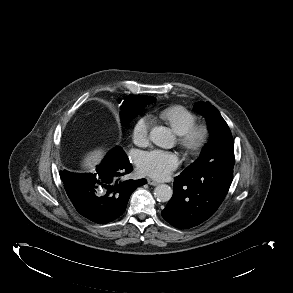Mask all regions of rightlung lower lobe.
Here are the masks:
<instances>
[{"instance_id":"obj_1","label":"right lung lower lobe","mask_w":293,"mask_h":293,"mask_svg":"<svg viewBox=\"0 0 293 293\" xmlns=\"http://www.w3.org/2000/svg\"><path fill=\"white\" fill-rule=\"evenodd\" d=\"M121 147L111 150L93 173L60 171L66 193L76 210L99 224L118 218L125 211L131 193L147 183L145 179L122 180L132 171Z\"/></svg>"}]
</instances>
